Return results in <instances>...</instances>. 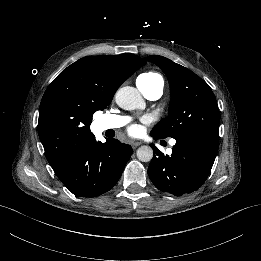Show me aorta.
<instances>
[{"label":"aorta","instance_id":"762f6f07","mask_svg":"<svg viewBox=\"0 0 261 261\" xmlns=\"http://www.w3.org/2000/svg\"><path fill=\"white\" fill-rule=\"evenodd\" d=\"M116 104L124 110L145 109L146 104L138 90L131 86L120 88L115 95ZM138 160L150 162L153 158V150L150 146H141L136 152Z\"/></svg>","mask_w":261,"mask_h":261}]
</instances>
